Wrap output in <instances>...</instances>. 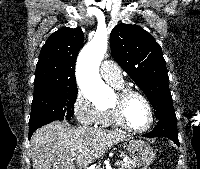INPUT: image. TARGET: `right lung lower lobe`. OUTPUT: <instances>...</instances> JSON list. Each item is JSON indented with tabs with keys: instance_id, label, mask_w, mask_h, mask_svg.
<instances>
[{
	"instance_id": "98d812e1",
	"label": "right lung lower lobe",
	"mask_w": 200,
	"mask_h": 169,
	"mask_svg": "<svg viewBox=\"0 0 200 169\" xmlns=\"http://www.w3.org/2000/svg\"><path fill=\"white\" fill-rule=\"evenodd\" d=\"M71 119H69L68 121H70ZM52 121H55V120H49V121H43V122H36L32 125H29V138L32 136L33 132L40 128L41 126L47 124V123H50Z\"/></svg>"
}]
</instances>
